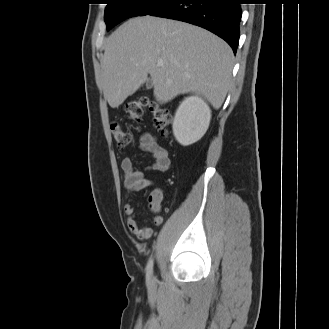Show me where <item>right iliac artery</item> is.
<instances>
[{
	"mask_svg": "<svg viewBox=\"0 0 329 329\" xmlns=\"http://www.w3.org/2000/svg\"><path fill=\"white\" fill-rule=\"evenodd\" d=\"M146 271H147V278L150 279L153 274V259L152 258L147 263Z\"/></svg>",
	"mask_w": 329,
	"mask_h": 329,
	"instance_id": "obj_1",
	"label": "right iliac artery"
}]
</instances>
